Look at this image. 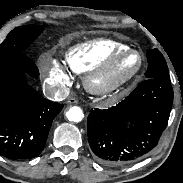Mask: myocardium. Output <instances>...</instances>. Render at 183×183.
<instances>
[{"label": "myocardium", "instance_id": "f54148a6", "mask_svg": "<svg viewBox=\"0 0 183 183\" xmlns=\"http://www.w3.org/2000/svg\"><path fill=\"white\" fill-rule=\"evenodd\" d=\"M126 54H135L139 57V65L137 69L129 76L119 81H108L101 85L100 80L110 75L118 60ZM144 66V57L136 49L124 48L113 52L98 67L94 68L86 75L84 85L86 90L96 96H110L123 90L130 85L142 72Z\"/></svg>", "mask_w": 183, "mask_h": 183}]
</instances>
